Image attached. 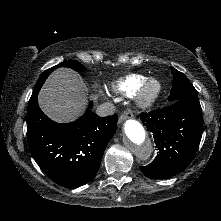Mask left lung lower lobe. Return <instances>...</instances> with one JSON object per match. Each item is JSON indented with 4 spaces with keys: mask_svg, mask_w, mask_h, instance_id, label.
<instances>
[{
    "mask_svg": "<svg viewBox=\"0 0 221 221\" xmlns=\"http://www.w3.org/2000/svg\"><path fill=\"white\" fill-rule=\"evenodd\" d=\"M141 120L152 132L159 152L154 161L141 166L143 174L163 179L183 171L193 160L203 132L200 104L185 100L142 113Z\"/></svg>",
    "mask_w": 221,
    "mask_h": 221,
    "instance_id": "0a47b994",
    "label": "left lung lower lobe"
}]
</instances>
